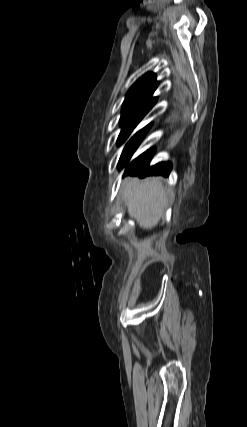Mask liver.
Segmentation results:
<instances>
[{
	"instance_id": "1",
	"label": "liver",
	"mask_w": 247,
	"mask_h": 427,
	"mask_svg": "<svg viewBox=\"0 0 247 427\" xmlns=\"http://www.w3.org/2000/svg\"><path fill=\"white\" fill-rule=\"evenodd\" d=\"M124 186L123 199L130 217L141 228L155 227L164 214L169 197L161 178H129L125 180Z\"/></svg>"
}]
</instances>
